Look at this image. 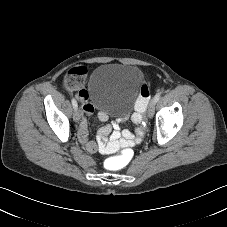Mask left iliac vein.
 I'll list each match as a JSON object with an SVG mask.
<instances>
[{
	"instance_id": "1",
	"label": "left iliac vein",
	"mask_w": 227,
	"mask_h": 227,
	"mask_svg": "<svg viewBox=\"0 0 227 227\" xmlns=\"http://www.w3.org/2000/svg\"><path fill=\"white\" fill-rule=\"evenodd\" d=\"M155 106H156V101L154 99L151 100L149 106H148V110H147V116L148 118H152L154 115V111H155Z\"/></svg>"
}]
</instances>
